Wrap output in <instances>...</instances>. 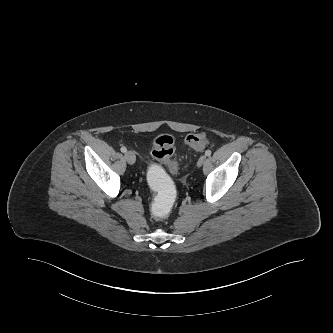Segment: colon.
<instances>
[{
	"label": "colon",
	"mask_w": 333,
	"mask_h": 333,
	"mask_svg": "<svg viewBox=\"0 0 333 333\" xmlns=\"http://www.w3.org/2000/svg\"><path fill=\"white\" fill-rule=\"evenodd\" d=\"M186 143L195 150H201L206 146L207 139L203 133H192L186 137ZM152 156L167 166L151 163L148 165L145 174L146 183L154 188L153 210L149 213V220L153 224H161L169 214L174 201V179L169 171L176 173L178 163L175 158V140L173 136L168 134L157 136L153 141Z\"/></svg>",
	"instance_id": "5ec220e1"
}]
</instances>
